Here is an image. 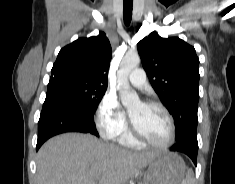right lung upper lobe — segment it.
I'll list each match as a JSON object with an SVG mask.
<instances>
[{"label": "right lung upper lobe", "instance_id": "cb5924a9", "mask_svg": "<svg viewBox=\"0 0 235 184\" xmlns=\"http://www.w3.org/2000/svg\"><path fill=\"white\" fill-rule=\"evenodd\" d=\"M112 48L104 32L96 37L79 38L62 48L53 65L48 91L67 81L107 86Z\"/></svg>", "mask_w": 235, "mask_h": 184}]
</instances>
